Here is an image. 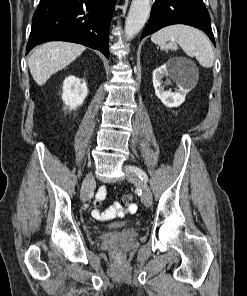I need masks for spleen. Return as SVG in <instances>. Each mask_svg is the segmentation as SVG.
Listing matches in <instances>:
<instances>
[{
  "mask_svg": "<svg viewBox=\"0 0 247 296\" xmlns=\"http://www.w3.org/2000/svg\"><path fill=\"white\" fill-rule=\"evenodd\" d=\"M153 43L162 50H177L179 45L190 57H195L201 66L210 68L214 53L209 39L198 29L187 25L164 27L151 36Z\"/></svg>",
  "mask_w": 247,
  "mask_h": 296,
  "instance_id": "3e777b00",
  "label": "spleen"
}]
</instances>
